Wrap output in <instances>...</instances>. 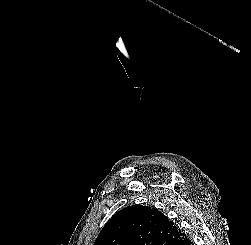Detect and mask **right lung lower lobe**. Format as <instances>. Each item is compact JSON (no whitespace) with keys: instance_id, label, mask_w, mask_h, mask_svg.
I'll return each mask as SVG.
<instances>
[{"instance_id":"right-lung-lower-lobe-1","label":"right lung lower lobe","mask_w":251,"mask_h":245,"mask_svg":"<svg viewBox=\"0 0 251 245\" xmlns=\"http://www.w3.org/2000/svg\"><path fill=\"white\" fill-rule=\"evenodd\" d=\"M174 245H192L191 240L185 235L179 241L175 242Z\"/></svg>"}]
</instances>
